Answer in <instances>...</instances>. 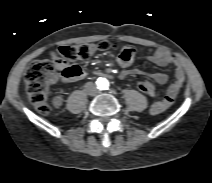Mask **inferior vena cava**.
Returning <instances> with one entry per match:
<instances>
[{"instance_id": "inferior-vena-cava-1", "label": "inferior vena cava", "mask_w": 212, "mask_h": 183, "mask_svg": "<svg viewBox=\"0 0 212 183\" xmlns=\"http://www.w3.org/2000/svg\"><path fill=\"white\" fill-rule=\"evenodd\" d=\"M85 91L88 95H91V96H96L99 94L98 88L92 82H88L85 84Z\"/></svg>"}]
</instances>
